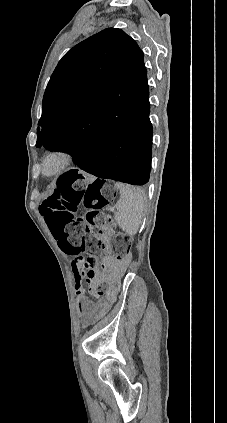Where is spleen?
Segmentation results:
<instances>
[{
    "label": "spleen",
    "instance_id": "obj_1",
    "mask_svg": "<svg viewBox=\"0 0 227 423\" xmlns=\"http://www.w3.org/2000/svg\"><path fill=\"white\" fill-rule=\"evenodd\" d=\"M120 190V198L115 206L117 211L115 219L122 231L128 235L137 233L145 210V202L138 188L117 184Z\"/></svg>",
    "mask_w": 227,
    "mask_h": 423
}]
</instances>
